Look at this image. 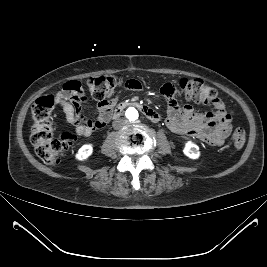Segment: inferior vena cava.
Instances as JSON below:
<instances>
[{
	"label": "inferior vena cava",
	"mask_w": 267,
	"mask_h": 267,
	"mask_svg": "<svg viewBox=\"0 0 267 267\" xmlns=\"http://www.w3.org/2000/svg\"><path fill=\"white\" fill-rule=\"evenodd\" d=\"M127 124V120L123 118H119L113 122L114 129H120Z\"/></svg>",
	"instance_id": "602c4592"
}]
</instances>
